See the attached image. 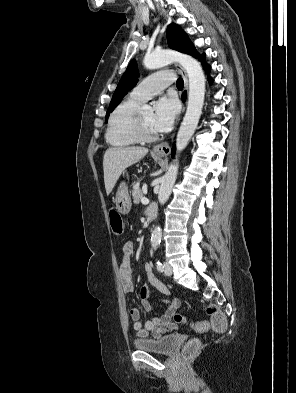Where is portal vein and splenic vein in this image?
I'll return each mask as SVG.
<instances>
[{
	"label": "portal vein and splenic vein",
	"instance_id": "18ae733b",
	"mask_svg": "<svg viewBox=\"0 0 296 393\" xmlns=\"http://www.w3.org/2000/svg\"><path fill=\"white\" fill-rule=\"evenodd\" d=\"M141 200H142V202H147V201H148V200H147L146 198H144V197H143Z\"/></svg>",
	"mask_w": 296,
	"mask_h": 393
}]
</instances>
